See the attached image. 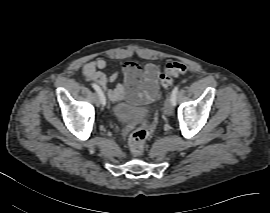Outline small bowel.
<instances>
[{
    "label": "small bowel",
    "instance_id": "c3829d8e",
    "mask_svg": "<svg viewBox=\"0 0 270 213\" xmlns=\"http://www.w3.org/2000/svg\"><path fill=\"white\" fill-rule=\"evenodd\" d=\"M107 65L108 61L105 58L89 61L83 66V75L100 85L112 100L135 99L139 96L143 102L150 104L157 99L159 68L155 64H147L142 69L137 63L128 61L121 70L110 76L102 72ZM121 73L124 74V81L115 88H111L109 85L115 82Z\"/></svg>",
    "mask_w": 270,
    "mask_h": 213
}]
</instances>
